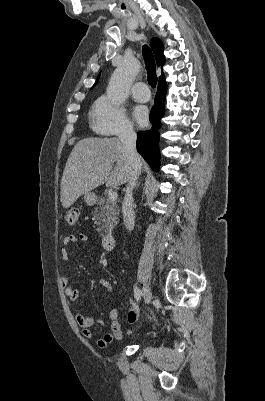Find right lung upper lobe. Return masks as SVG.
I'll use <instances>...</instances> for the list:
<instances>
[{"label": "right lung upper lobe", "instance_id": "cb5924a9", "mask_svg": "<svg viewBox=\"0 0 265 401\" xmlns=\"http://www.w3.org/2000/svg\"><path fill=\"white\" fill-rule=\"evenodd\" d=\"M151 47L154 52L157 65L162 67L164 65V56H163L164 47H163L162 42L158 38H153L151 40ZM98 80H99V76L96 80V83L98 82ZM96 83L94 84V86L96 85ZM159 83H166L163 73L159 77Z\"/></svg>", "mask_w": 265, "mask_h": 401}]
</instances>
